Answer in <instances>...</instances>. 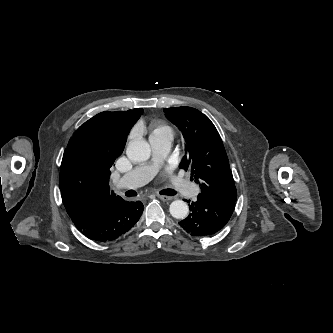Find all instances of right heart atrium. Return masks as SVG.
<instances>
[{"mask_svg":"<svg viewBox=\"0 0 333 333\" xmlns=\"http://www.w3.org/2000/svg\"><path fill=\"white\" fill-rule=\"evenodd\" d=\"M134 137H135V131L133 130V131L130 133L129 138L132 139V138H134Z\"/></svg>","mask_w":333,"mask_h":333,"instance_id":"d8ad5b80","label":"right heart atrium"}]
</instances>
